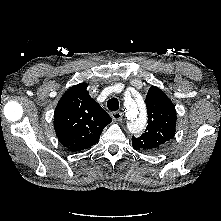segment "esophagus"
Wrapping results in <instances>:
<instances>
[{
	"label": "esophagus",
	"instance_id": "esophagus-1",
	"mask_svg": "<svg viewBox=\"0 0 221 221\" xmlns=\"http://www.w3.org/2000/svg\"><path fill=\"white\" fill-rule=\"evenodd\" d=\"M111 117L114 121H121L122 119V113L119 111H114L111 113Z\"/></svg>",
	"mask_w": 221,
	"mask_h": 221
}]
</instances>
